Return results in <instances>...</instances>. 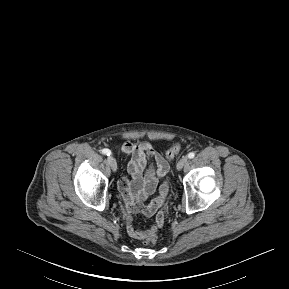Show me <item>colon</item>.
I'll return each mask as SVG.
<instances>
[{
	"label": "colon",
	"instance_id": "1",
	"mask_svg": "<svg viewBox=\"0 0 289 289\" xmlns=\"http://www.w3.org/2000/svg\"><path fill=\"white\" fill-rule=\"evenodd\" d=\"M179 150V146L178 145H174L172 146L170 149L167 150L166 152V157L170 158L172 156H174V154H176ZM158 240V236L156 234V232L151 233L145 240L144 243L145 244H155Z\"/></svg>",
	"mask_w": 289,
	"mask_h": 289
}]
</instances>
